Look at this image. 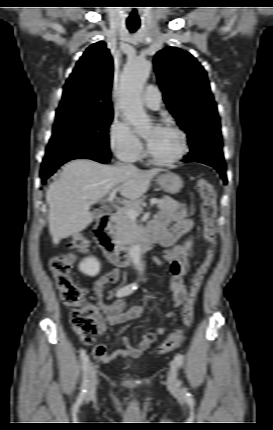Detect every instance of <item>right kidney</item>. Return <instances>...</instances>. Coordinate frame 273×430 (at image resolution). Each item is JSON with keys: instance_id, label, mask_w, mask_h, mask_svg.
Masks as SVG:
<instances>
[{"instance_id": "right-kidney-1", "label": "right kidney", "mask_w": 273, "mask_h": 430, "mask_svg": "<svg viewBox=\"0 0 273 430\" xmlns=\"http://www.w3.org/2000/svg\"><path fill=\"white\" fill-rule=\"evenodd\" d=\"M100 262L95 257H87L79 264V270L87 276L94 277L99 274Z\"/></svg>"}]
</instances>
